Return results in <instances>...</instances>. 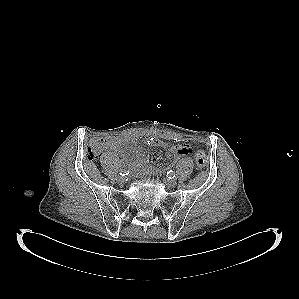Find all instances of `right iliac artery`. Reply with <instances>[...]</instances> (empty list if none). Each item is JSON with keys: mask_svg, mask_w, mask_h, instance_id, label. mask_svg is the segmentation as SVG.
I'll list each match as a JSON object with an SVG mask.
<instances>
[{"mask_svg": "<svg viewBox=\"0 0 299 299\" xmlns=\"http://www.w3.org/2000/svg\"><path fill=\"white\" fill-rule=\"evenodd\" d=\"M128 173H129V171H128V170H125V169H121L120 172H119V174H120L121 176L128 175Z\"/></svg>", "mask_w": 299, "mask_h": 299, "instance_id": "right-iliac-artery-1", "label": "right iliac artery"}]
</instances>
